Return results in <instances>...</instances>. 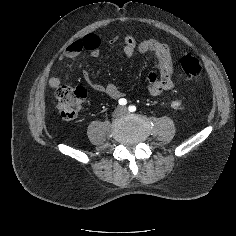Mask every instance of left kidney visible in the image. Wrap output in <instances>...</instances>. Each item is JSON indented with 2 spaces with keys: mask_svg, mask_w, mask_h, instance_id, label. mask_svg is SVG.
<instances>
[{
  "mask_svg": "<svg viewBox=\"0 0 236 236\" xmlns=\"http://www.w3.org/2000/svg\"><path fill=\"white\" fill-rule=\"evenodd\" d=\"M171 108L174 110H180L181 109V102L178 100L172 101L170 104Z\"/></svg>",
  "mask_w": 236,
  "mask_h": 236,
  "instance_id": "1",
  "label": "left kidney"
}]
</instances>
